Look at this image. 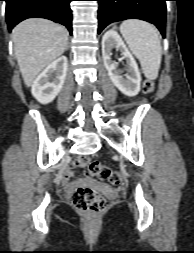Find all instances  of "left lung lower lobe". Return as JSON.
Wrapping results in <instances>:
<instances>
[{"label":"left lung lower lobe","mask_w":194,"mask_h":253,"mask_svg":"<svg viewBox=\"0 0 194 253\" xmlns=\"http://www.w3.org/2000/svg\"><path fill=\"white\" fill-rule=\"evenodd\" d=\"M100 33L108 24L125 19H141L153 23L165 37L167 0H97Z\"/></svg>","instance_id":"obj_1"}]
</instances>
